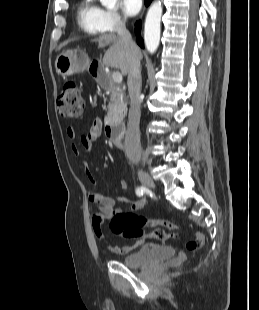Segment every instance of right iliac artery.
I'll return each instance as SVG.
<instances>
[{
	"label": "right iliac artery",
	"instance_id": "1",
	"mask_svg": "<svg viewBox=\"0 0 259 310\" xmlns=\"http://www.w3.org/2000/svg\"><path fill=\"white\" fill-rule=\"evenodd\" d=\"M145 190H146V189H145L144 187H138V188L136 189V194H137L139 197H141V196H143Z\"/></svg>",
	"mask_w": 259,
	"mask_h": 310
}]
</instances>
